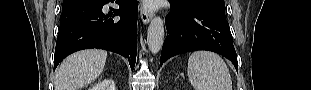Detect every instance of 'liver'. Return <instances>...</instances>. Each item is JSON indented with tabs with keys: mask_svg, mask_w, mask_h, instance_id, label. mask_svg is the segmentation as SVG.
I'll return each mask as SVG.
<instances>
[{
	"mask_svg": "<svg viewBox=\"0 0 311 90\" xmlns=\"http://www.w3.org/2000/svg\"><path fill=\"white\" fill-rule=\"evenodd\" d=\"M107 52L82 50L63 60L56 71L55 90H78L93 82L103 72Z\"/></svg>",
	"mask_w": 311,
	"mask_h": 90,
	"instance_id": "obj_1",
	"label": "liver"
}]
</instances>
